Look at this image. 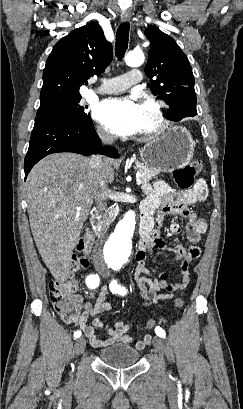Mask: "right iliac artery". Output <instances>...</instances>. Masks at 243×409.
<instances>
[{
  "label": "right iliac artery",
  "instance_id": "right-iliac-artery-1",
  "mask_svg": "<svg viewBox=\"0 0 243 409\" xmlns=\"http://www.w3.org/2000/svg\"><path fill=\"white\" fill-rule=\"evenodd\" d=\"M99 276L97 274H90L89 276H87L86 278V285L90 288V289H95L96 287L99 286ZM81 331L77 330L76 332H74V338H79L81 336Z\"/></svg>",
  "mask_w": 243,
  "mask_h": 409
}]
</instances>
